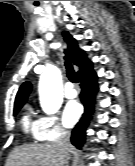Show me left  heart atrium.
I'll return each instance as SVG.
<instances>
[{
    "instance_id": "left-heart-atrium-1",
    "label": "left heart atrium",
    "mask_w": 135,
    "mask_h": 166,
    "mask_svg": "<svg viewBox=\"0 0 135 166\" xmlns=\"http://www.w3.org/2000/svg\"><path fill=\"white\" fill-rule=\"evenodd\" d=\"M80 115V108L75 102L68 103L63 112V123L67 127L75 124Z\"/></svg>"
}]
</instances>
